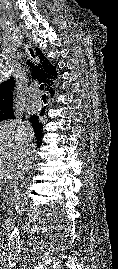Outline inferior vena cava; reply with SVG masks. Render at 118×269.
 Instances as JSON below:
<instances>
[{"label": "inferior vena cava", "mask_w": 118, "mask_h": 269, "mask_svg": "<svg viewBox=\"0 0 118 269\" xmlns=\"http://www.w3.org/2000/svg\"><path fill=\"white\" fill-rule=\"evenodd\" d=\"M33 162H34V157L32 155L31 149L27 148L25 155L23 156V160L20 165L19 172L17 174L18 179L23 180L25 174L32 167Z\"/></svg>", "instance_id": "obj_1"}]
</instances>
